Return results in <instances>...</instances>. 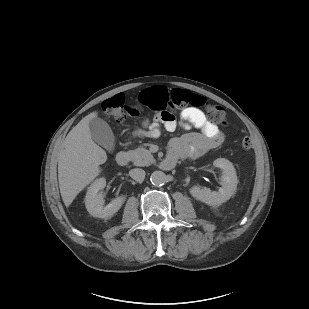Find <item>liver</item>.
Segmentation results:
<instances>
[{
    "label": "liver",
    "mask_w": 309,
    "mask_h": 309,
    "mask_svg": "<svg viewBox=\"0 0 309 309\" xmlns=\"http://www.w3.org/2000/svg\"><path fill=\"white\" fill-rule=\"evenodd\" d=\"M96 117L97 112L84 117L68 133L64 149L59 153L58 181L66 207L100 174V165L107 160L106 152L93 141L90 133L88 123Z\"/></svg>",
    "instance_id": "6515ba94"
}]
</instances>
